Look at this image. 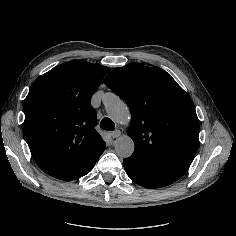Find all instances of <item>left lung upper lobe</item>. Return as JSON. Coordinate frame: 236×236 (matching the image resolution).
<instances>
[{"label":"left lung upper lobe","mask_w":236,"mask_h":236,"mask_svg":"<svg viewBox=\"0 0 236 236\" xmlns=\"http://www.w3.org/2000/svg\"><path fill=\"white\" fill-rule=\"evenodd\" d=\"M104 83L129 106L131 157L178 180L199 146V120L190 96L159 67L114 69Z\"/></svg>","instance_id":"left-lung-upper-lobe-1"}]
</instances>
